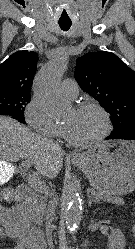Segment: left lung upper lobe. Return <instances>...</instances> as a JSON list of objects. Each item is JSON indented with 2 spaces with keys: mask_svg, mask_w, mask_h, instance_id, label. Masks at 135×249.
<instances>
[{
  "mask_svg": "<svg viewBox=\"0 0 135 249\" xmlns=\"http://www.w3.org/2000/svg\"><path fill=\"white\" fill-rule=\"evenodd\" d=\"M75 78L111 114L113 132L130 128L135 121V71L112 52H90L77 59Z\"/></svg>",
  "mask_w": 135,
  "mask_h": 249,
  "instance_id": "obj_1",
  "label": "left lung upper lobe"
}]
</instances>
